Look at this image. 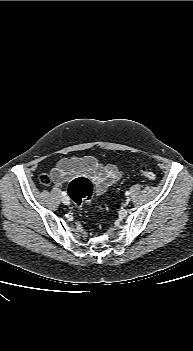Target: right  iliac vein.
<instances>
[{
  "instance_id": "1",
  "label": "right iliac vein",
  "mask_w": 193,
  "mask_h": 351,
  "mask_svg": "<svg viewBox=\"0 0 193 351\" xmlns=\"http://www.w3.org/2000/svg\"><path fill=\"white\" fill-rule=\"evenodd\" d=\"M62 202H63L65 205H69V204H70V199H69V197L64 196V197L62 198Z\"/></svg>"
}]
</instances>
